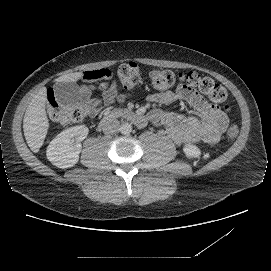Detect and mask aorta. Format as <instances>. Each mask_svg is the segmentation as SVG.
Returning <instances> with one entry per match:
<instances>
[{
  "mask_svg": "<svg viewBox=\"0 0 271 271\" xmlns=\"http://www.w3.org/2000/svg\"><path fill=\"white\" fill-rule=\"evenodd\" d=\"M120 133L124 135H128L132 131V125L128 122H123L119 128Z\"/></svg>",
  "mask_w": 271,
  "mask_h": 271,
  "instance_id": "1",
  "label": "aorta"
}]
</instances>
